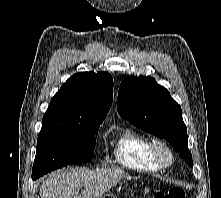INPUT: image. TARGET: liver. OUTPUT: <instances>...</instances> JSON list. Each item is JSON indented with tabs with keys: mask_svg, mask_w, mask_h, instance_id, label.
Returning a JSON list of instances; mask_svg holds the SVG:
<instances>
[{
	"mask_svg": "<svg viewBox=\"0 0 221 198\" xmlns=\"http://www.w3.org/2000/svg\"><path fill=\"white\" fill-rule=\"evenodd\" d=\"M129 174L120 168L97 170H60L43 179L40 186L41 198H101L121 179ZM85 190L79 194L80 189Z\"/></svg>",
	"mask_w": 221,
	"mask_h": 198,
	"instance_id": "6515ba94",
	"label": "liver"
}]
</instances>
